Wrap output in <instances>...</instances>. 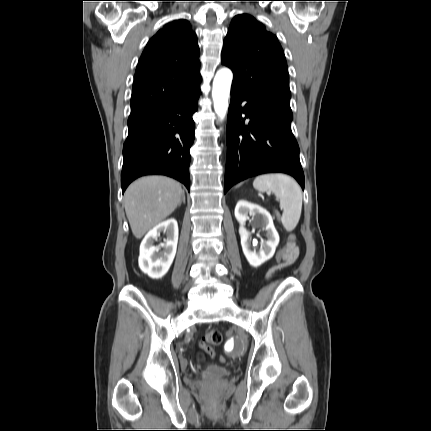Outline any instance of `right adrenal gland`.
<instances>
[{
	"instance_id": "1",
	"label": "right adrenal gland",
	"mask_w": 431,
	"mask_h": 431,
	"mask_svg": "<svg viewBox=\"0 0 431 431\" xmlns=\"http://www.w3.org/2000/svg\"><path fill=\"white\" fill-rule=\"evenodd\" d=\"M182 202H183L184 204L186 203V201H185V194H184V193L182 194V199H181V201H180V203H179V206L181 205V203H182Z\"/></svg>"
}]
</instances>
